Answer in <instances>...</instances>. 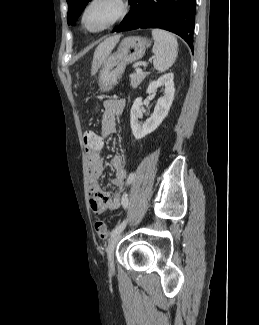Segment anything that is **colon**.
Listing matches in <instances>:
<instances>
[{"label": "colon", "instance_id": "colon-1", "mask_svg": "<svg viewBox=\"0 0 259 325\" xmlns=\"http://www.w3.org/2000/svg\"><path fill=\"white\" fill-rule=\"evenodd\" d=\"M83 139H84L85 149L94 150V149L103 148V139L97 138L96 133H94L93 131H87L84 134ZM94 229L99 239L105 240L107 238L108 229L103 220L97 219L94 223Z\"/></svg>", "mask_w": 259, "mask_h": 325}]
</instances>
